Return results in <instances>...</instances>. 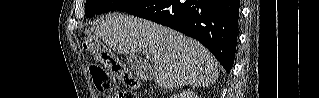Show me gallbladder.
I'll list each match as a JSON object with an SVG mask.
<instances>
[{
    "label": "gallbladder",
    "instance_id": "bac80fb5",
    "mask_svg": "<svg viewBox=\"0 0 319 98\" xmlns=\"http://www.w3.org/2000/svg\"><path fill=\"white\" fill-rule=\"evenodd\" d=\"M126 58H127V64L129 66V68L134 72H138V70H139L138 60L134 56H131V55H128Z\"/></svg>",
    "mask_w": 319,
    "mask_h": 98
}]
</instances>
